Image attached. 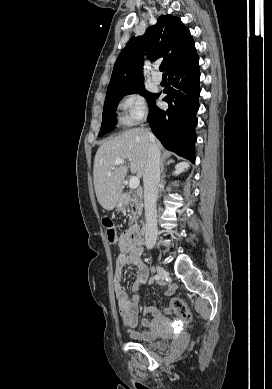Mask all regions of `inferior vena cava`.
Returning a JSON list of instances; mask_svg holds the SVG:
<instances>
[{
	"label": "inferior vena cava",
	"instance_id": "1",
	"mask_svg": "<svg viewBox=\"0 0 272 389\" xmlns=\"http://www.w3.org/2000/svg\"><path fill=\"white\" fill-rule=\"evenodd\" d=\"M150 144L148 157L144 169V204L146 210L145 246L152 249L158 236L156 202L160 183V150L155 143V138L149 134Z\"/></svg>",
	"mask_w": 272,
	"mask_h": 389
}]
</instances>
